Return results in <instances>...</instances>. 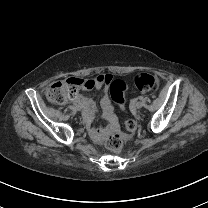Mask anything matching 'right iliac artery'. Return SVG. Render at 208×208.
Here are the masks:
<instances>
[{
	"label": "right iliac artery",
	"instance_id": "right-iliac-artery-1",
	"mask_svg": "<svg viewBox=\"0 0 208 208\" xmlns=\"http://www.w3.org/2000/svg\"><path fill=\"white\" fill-rule=\"evenodd\" d=\"M73 104H74L75 106H77V103H76V102H74Z\"/></svg>",
	"mask_w": 208,
	"mask_h": 208
}]
</instances>
